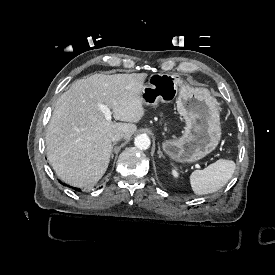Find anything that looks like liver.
Returning <instances> with one entry per match:
<instances>
[{
  "instance_id": "liver-1",
  "label": "liver",
  "mask_w": 275,
  "mask_h": 275,
  "mask_svg": "<svg viewBox=\"0 0 275 275\" xmlns=\"http://www.w3.org/2000/svg\"><path fill=\"white\" fill-rule=\"evenodd\" d=\"M147 74H94L77 80L57 100L46 133L47 159L67 184L87 188L105 174L110 161L112 134L129 139L133 123L144 115L140 91ZM105 104L116 120L105 119L98 104Z\"/></svg>"
}]
</instances>
